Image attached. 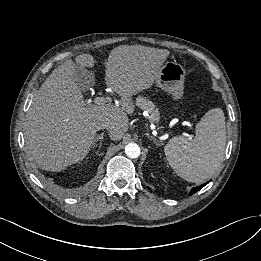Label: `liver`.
I'll return each mask as SVG.
<instances>
[{"instance_id":"1","label":"liver","mask_w":261,"mask_h":261,"mask_svg":"<svg viewBox=\"0 0 261 261\" xmlns=\"http://www.w3.org/2000/svg\"><path fill=\"white\" fill-rule=\"evenodd\" d=\"M166 49L122 45L111 50L106 62V85L121 96L120 106L84 101L75 82L78 67L92 68L94 57L82 54L53 70L35 95L24 125L28 154L46 171H60L88 154L96 131L110 125V138L121 140L134 111L131 97L148 89L169 56Z\"/></svg>"}]
</instances>
